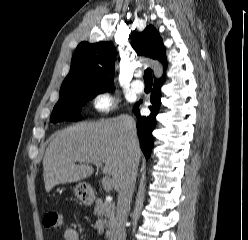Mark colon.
Here are the masks:
<instances>
[{"label": "colon", "instance_id": "colon-1", "mask_svg": "<svg viewBox=\"0 0 248 240\" xmlns=\"http://www.w3.org/2000/svg\"><path fill=\"white\" fill-rule=\"evenodd\" d=\"M43 224L47 228H61L63 224L62 214L56 210L47 211L43 217Z\"/></svg>", "mask_w": 248, "mask_h": 240}]
</instances>
